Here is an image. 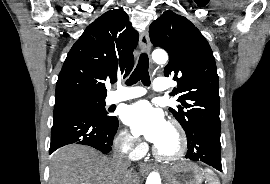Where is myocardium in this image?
I'll return each instance as SVG.
<instances>
[{
  "mask_svg": "<svg viewBox=\"0 0 270 184\" xmlns=\"http://www.w3.org/2000/svg\"><path fill=\"white\" fill-rule=\"evenodd\" d=\"M169 127L175 132L177 137L178 146L176 151L171 154H165L157 146H154L153 153L160 160L174 162L180 160L185 155L187 151V137L183 127L176 120L170 121Z\"/></svg>",
  "mask_w": 270,
  "mask_h": 184,
  "instance_id": "myocardium-1",
  "label": "myocardium"
}]
</instances>
